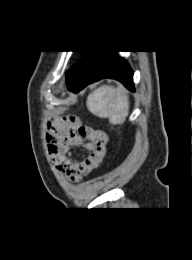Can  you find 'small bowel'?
<instances>
[{
	"instance_id": "obj_1",
	"label": "small bowel",
	"mask_w": 192,
	"mask_h": 260,
	"mask_svg": "<svg viewBox=\"0 0 192 260\" xmlns=\"http://www.w3.org/2000/svg\"><path fill=\"white\" fill-rule=\"evenodd\" d=\"M46 138L55 167L71 182H79L95 170L105 155V132L84 125L74 115L55 119L49 125ZM74 146H84L89 151L88 156L80 162L72 160L70 149Z\"/></svg>"
}]
</instances>
